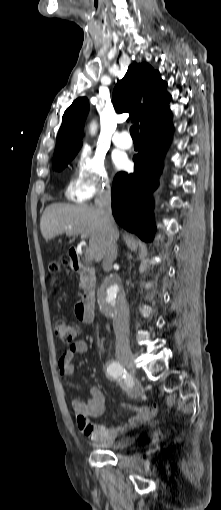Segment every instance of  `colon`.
Masks as SVG:
<instances>
[{"instance_id":"5ec220e1","label":"colon","mask_w":221,"mask_h":510,"mask_svg":"<svg viewBox=\"0 0 221 510\" xmlns=\"http://www.w3.org/2000/svg\"><path fill=\"white\" fill-rule=\"evenodd\" d=\"M70 265H71V258L68 256H65L61 259V261L51 263L50 271L52 273H59L64 268H66ZM53 329H54L55 335L59 338V340L63 344H66V345L73 344V342L75 341L76 337L79 334L78 325H76L72 322H69L67 320H64V319L56 320L53 324ZM80 430H81V428H80Z\"/></svg>"}]
</instances>
